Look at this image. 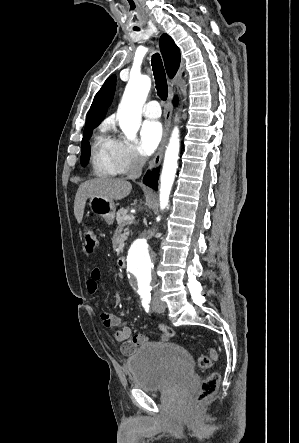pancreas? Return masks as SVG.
<instances>
[{
    "label": "pancreas",
    "instance_id": "obj_1",
    "mask_svg": "<svg viewBox=\"0 0 299 443\" xmlns=\"http://www.w3.org/2000/svg\"><path fill=\"white\" fill-rule=\"evenodd\" d=\"M126 216H129V215H128V209L121 208V209L117 212V214H116V220H117V223H118V225H119L120 228H122V227H124V226H126V225H130V224L133 223V220H126V219H125ZM128 234H129V233H128V229H126L125 232H124V234L122 235L121 245H122V244L124 243V241L126 240ZM122 250H123V248H122V246H121V247H120V252H122Z\"/></svg>",
    "mask_w": 299,
    "mask_h": 443
}]
</instances>
